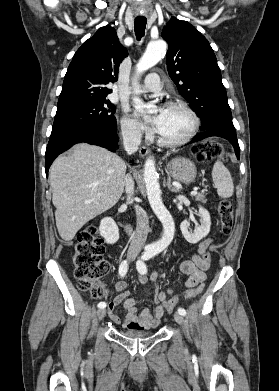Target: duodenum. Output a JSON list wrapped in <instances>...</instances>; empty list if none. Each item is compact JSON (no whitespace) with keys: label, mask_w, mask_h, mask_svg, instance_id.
Wrapping results in <instances>:
<instances>
[{"label":"duodenum","mask_w":279,"mask_h":391,"mask_svg":"<svg viewBox=\"0 0 279 391\" xmlns=\"http://www.w3.org/2000/svg\"><path fill=\"white\" fill-rule=\"evenodd\" d=\"M125 230L128 232V233H131L132 229H131V226L129 224H126L125 225Z\"/></svg>","instance_id":"410a0bca"}]
</instances>
